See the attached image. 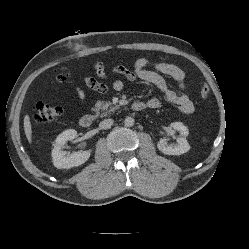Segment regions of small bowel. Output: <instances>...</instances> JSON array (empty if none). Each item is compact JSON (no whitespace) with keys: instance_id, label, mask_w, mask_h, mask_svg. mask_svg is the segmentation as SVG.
<instances>
[{"instance_id":"small-bowel-1","label":"small bowel","mask_w":249,"mask_h":249,"mask_svg":"<svg viewBox=\"0 0 249 249\" xmlns=\"http://www.w3.org/2000/svg\"><path fill=\"white\" fill-rule=\"evenodd\" d=\"M93 69L100 80H106L110 75H122L131 81L141 79L151 83L160 89L164 93L166 100L175 104L181 113L191 114L194 111V105L190 97L191 89L186 86L184 72L176 65L139 58L134 62L131 69L123 65H117L112 68L111 72H108L102 63L94 64ZM164 76L171 77L182 93L178 94L170 89ZM98 79L89 76L83 77V81L89 88L99 93H106L108 86ZM73 87L78 101L81 104L85 103L86 94L84 90L77 84H74ZM112 87L116 91L122 90L124 87L123 80L116 79L112 83ZM146 106L150 109H157L161 106V100L151 98L146 102Z\"/></svg>"}]
</instances>
